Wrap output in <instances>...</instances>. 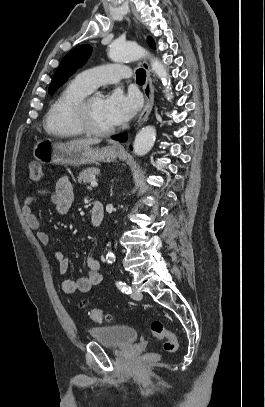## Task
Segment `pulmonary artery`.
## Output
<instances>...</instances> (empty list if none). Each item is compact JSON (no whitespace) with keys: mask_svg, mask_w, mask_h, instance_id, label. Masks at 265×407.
Instances as JSON below:
<instances>
[{"mask_svg":"<svg viewBox=\"0 0 265 407\" xmlns=\"http://www.w3.org/2000/svg\"><path fill=\"white\" fill-rule=\"evenodd\" d=\"M130 70L126 66L107 64L82 71L76 79L91 91L102 84L118 83L129 79Z\"/></svg>","mask_w":265,"mask_h":407,"instance_id":"pulmonary-artery-1","label":"pulmonary artery"}]
</instances>
